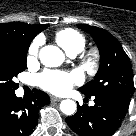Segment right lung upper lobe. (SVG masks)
<instances>
[{
	"label": "right lung upper lobe",
	"mask_w": 136,
	"mask_h": 136,
	"mask_svg": "<svg viewBox=\"0 0 136 136\" xmlns=\"http://www.w3.org/2000/svg\"><path fill=\"white\" fill-rule=\"evenodd\" d=\"M48 27V24H25L22 22H11L0 24V41H17L21 45H28L33 38Z\"/></svg>",
	"instance_id": "right-lung-upper-lobe-1"
}]
</instances>
